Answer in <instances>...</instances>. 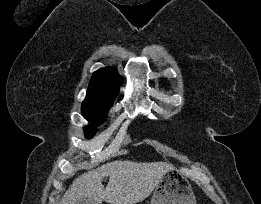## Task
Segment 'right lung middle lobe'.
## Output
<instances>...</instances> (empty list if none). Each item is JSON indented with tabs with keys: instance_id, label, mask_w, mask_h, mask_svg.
Masks as SVG:
<instances>
[{
	"instance_id": "1",
	"label": "right lung middle lobe",
	"mask_w": 261,
	"mask_h": 204,
	"mask_svg": "<svg viewBox=\"0 0 261 204\" xmlns=\"http://www.w3.org/2000/svg\"><path fill=\"white\" fill-rule=\"evenodd\" d=\"M110 107L107 106H92V105H85L82 104V113L83 116L92 123V125L99 124L103 122L106 118L107 111ZM95 133L93 128H86L85 129V136L86 138H92L93 134Z\"/></svg>"
}]
</instances>
